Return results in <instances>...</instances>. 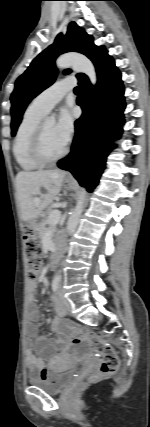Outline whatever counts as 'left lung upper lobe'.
Listing matches in <instances>:
<instances>
[{
    "instance_id": "5c2ea615",
    "label": "left lung upper lobe",
    "mask_w": 150,
    "mask_h": 427,
    "mask_svg": "<svg viewBox=\"0 0 150 427\" xmlns=\"http://www.w3.org/2000/svg\"><path fill=\"white\" fill-rule=\"evenodd\" d=\"M70 51L86 55L94 65L107 53L103 46L94 45L91 35H88L75 22H71L66 35L63 36L60 33L55 42L42 51L32 61L25 73L17 79L11 95L12 136L17 131L28 103L55 81L57 69L54 62L56 57ZM70 72L69 69L64 71L65 74ZM76 76L81 79L86 75L78 73Z\"/></svg>"
}]
</instances>
